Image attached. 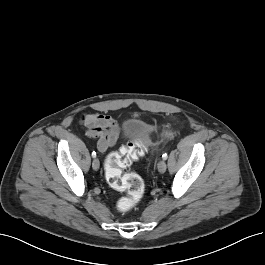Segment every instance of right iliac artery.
<instances>
[{
	"mask_svg": "<svg viewBox=\"0 0 265 265\" xmlns=\"http://www.w3.org/2000/svg\"><path fill=\"white\" fill-rule=\"evenodd\" d=\"M92 157H93V158L96 157V152H95V151L92 152Z\"/></svg>",
	"mask_w": 265,
	"mask_h": 265,
	"instance_id": "right-iliac-artery-1",
	"label": "right iliac artery"
}]
</instances>
